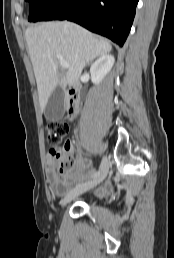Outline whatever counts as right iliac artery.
Here are the masks:
<instances>
[{
    "mask_svg": "<svg viewBox=\"0 0 174 258\" xmlns=\"http://www.w3.org/2000/svg\"><path fill=\"white\" fill-rule=\"evenodd\" d=\"M98 174H99V172H95V173L92 174L91 177H94V178H95V177H97Z\"/></svg>",
    "mask_w": 174,
    "mask_h": 258,
    "instance_id": "obj_1",
    "label": "right iliac artery"
}]
</instances>
